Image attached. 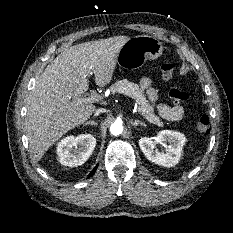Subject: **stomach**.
Here are the masks:
<instances>
[{
    "label": "stomach",
    "mask_w": 233,
    "mask_h": 233,
    "mask_svg": "<svg viewBox=\"0 0 233 233\" xmlns=\"http://www.w3.org/2000/svg\"><path fill=\"white\" fill-rule=\"evenodd\" d=\"M163 46L155 37L137 35L129 38L118 53L117 63L122 69H135L148 59L162 55Z\"/></svg>",
    "instance_id": "obj_1"
}]
</instances>
